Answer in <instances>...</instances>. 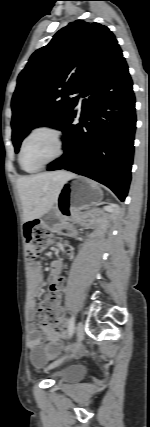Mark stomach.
Here are the masks:
<instances>
[{"mask_svg": "<svg viewBox=\"0 0 150 427\" xmlns=\"http://www.w3.org/2000/svg\"><path fill=\"white\" fill-rule=\"evenodd\" d=\"M102 195L95 183L76 177L73 181L63 184L53 211L59 218L74 220L81 210L97 204Z\"/></svg>", "mask_w": 150, "mask_h": 427, "instance_id": "1", "label": "stomach"}]
</instances>
